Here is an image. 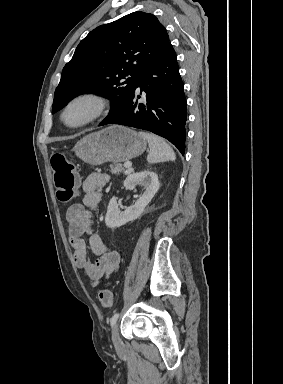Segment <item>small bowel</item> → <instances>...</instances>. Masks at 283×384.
<instances>
[{
	"instance_id": "1",
	"label": "small bowel",
	"mask_w": 283,
	"mask_h": 384,
	"mask_svg": "<svg viewBox=\"0 0 283 384\" xmlns=\"http://www.w3.org/2000/svg\"><path fill=\"white\" fill-rule=\"evenodd\" d=\"M109 181L105 173H92L83 183L82 204H73L66 213L68 237L74 250L76 266L83 271L93 286L99 285L118 268L120 254L110 249L95 232L93 212L97 209L103 188ZM84 236L87 237V243ZM88 250L97 256L95 261L89 257Z\"/></svg>"
}]
</instances>
